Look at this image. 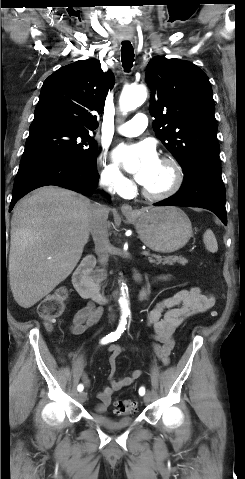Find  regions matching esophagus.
I'll use <instances>...</instances> for the list:
<instances>
[{"mask_svg": "<svg viewBox=\"0 0 245 479\" xmlns=\"http://www.w3.org/2000/svg\"><path fill=\"white\" fill-rule=\"evenodd\" d=\"M121 211H122L123 214H126V215L134 214V210H133L132 206L129 205V204H123L121 206Z\"/></svg>", "mask_w": 245, "mask_h": 479, "instance_id": "esophagus-1", "label": "esophagus"}]
</instances>
